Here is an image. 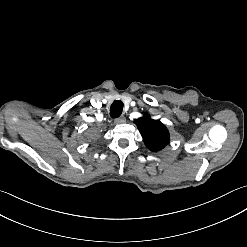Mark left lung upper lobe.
Segmentation results:
<instances>
[{"mask_svg": "<svg viewBox=\"0 0 247 247\" xmlns=\"http://www.w3.org/2000/svg\"><path fill=\"white\" fill-rule=\"evenodd\" d=\"M146 147L151 151H159L169 143L167 128L157 120L151 119L147 114L135 120Z\"/></svg>", "mask_w": 247, "mask_h": 247, "instance_id": "left-lung-upper-lobe-1", "label": "left lung upper lobe"}]
</instances>
